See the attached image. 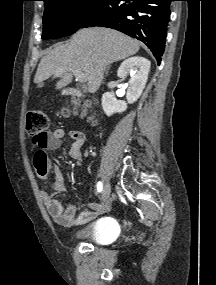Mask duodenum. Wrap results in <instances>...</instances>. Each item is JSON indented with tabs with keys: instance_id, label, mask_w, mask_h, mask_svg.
<instances>
[{
	"instance_id": "1",
	"label": "duodenum",
	"mask_w": 216,
	"mask_h": 285,
	"mask_svg": "<svg viewBox=\"0 0 216 285\" xmlns=\"http://www.w3.org/2000/svg\"><path fill=\"white\" fill-rule=\"evenodd\" d=\"M67 93L73 97H80L81 96V93L78 90L73 89V88L68 89Z\"/></svg>"
}]
</instances>
